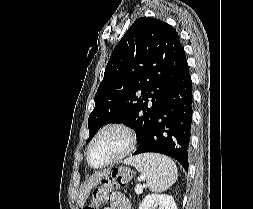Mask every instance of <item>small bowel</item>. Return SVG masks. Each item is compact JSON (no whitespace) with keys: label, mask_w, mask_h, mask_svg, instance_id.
<instances>
[{"label":"small bowel","mask_w":253,"mask_h":209,"mask_svg":"<svg viewBox=\"0 0 253 209\" xmlns=\"http://www.w3.org/2000/svg\"><path fill=\"white\" fill-rule=\"evenodd\" d=\"M105 209H132V206L123 194L115 192L111 195L110 204Z\"/></svg>","instance_id":"small-bowel-1"}]
</instances>
